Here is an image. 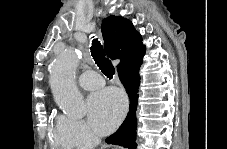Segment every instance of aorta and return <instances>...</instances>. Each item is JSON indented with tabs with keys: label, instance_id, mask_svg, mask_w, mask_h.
I'll return each instance as SVG.
<instances>
[{
	"label": "aorta",
	"instance_id": "1",
	"mask_svg": "<svg viewBox=\"0 0 227 149\" xmlns=\"http://www.w3.org/2000/svg\"><path fill=\"white\" fill-rule=\"evenodd\" d=\"M78 56L72 49L62 52L50 67V85L57 105L72 117H83L85 103L75 84Z\"/></svg>",
	"mask_w": 227,
	"mask_h": 149
}]
</instances>
